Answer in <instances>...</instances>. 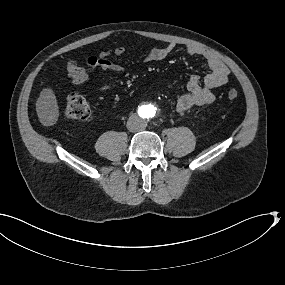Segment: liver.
Wrapping results in <instances>:
<instances>
[{
    "instance_id": "liver-1",
    "label": "liver",
    "mask_w": 285,
    "mask_h": 285,
    "mask_svg": "<svg viewBox=\"0 0 285 285\" xmlns=\"http://www.w3.org/2000/svg\"><path fill=\"white\" fill-rule=\"evenodd\" d=\"M36 112L40 123L44 126H52L57 122L59 108L52 89L46 88L40 92L36 102Z\"/></svg>"
}]
</instances>
